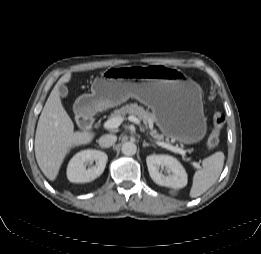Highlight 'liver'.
<instances>
[{
	"mask_svg": "<svg viewBox=\"0 0 261 254\" xmlns=\"http://www.w3.org/2000/svg\"><path fill=\"white\" fill-rule=\"evenodd\" d=\"M71 72L64 74L51 91L41 115L35 134V156L39 168L51 181L70 150L92 142L95 133L74 131V123L65 111L59 94V87L68 83Z\"/></svg>",
	"mask_w": 261,
	"mask_h": 254,
	"instance_id": "1",
	"label": "liver"
}]
</instances>
